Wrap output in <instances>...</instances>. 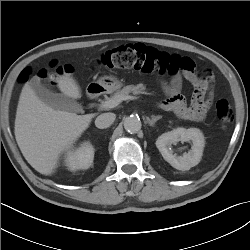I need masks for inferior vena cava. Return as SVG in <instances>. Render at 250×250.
I'll list each match as a JSON object with an SVG mask.
<instances>
[{"label": "inferior vena cava", "mask_w": 250, "mask_h": 250, "mask_svg": "<svg viewBox=\"0 0 250 250\" xmlns=\"http://www.w3.org/2000/svg\"><path fill=\"white\" fill-rule=\"evenodd\" d=\"M116 115L114 113H103L95 120V125L99 129L109 127L115 121Z\"/></svg>", "instance_id": "602c4592"}]
</instances>
